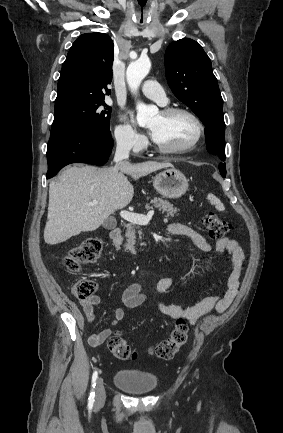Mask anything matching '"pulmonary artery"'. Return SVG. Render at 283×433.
Returning <instances> with one entry per match:
<instances>
[{"instance_id": "e3ab8cb5", "label": "pulmonary artery", "mask_w": 283, "mask_h": 433, "mask_svg": "<svg viewBox=\"0 0 283 433\" xmlns=\"http://www.w3.org/2000/svg\"><path fill=\"white\" fill-rule=\"evenodd\" d=\"M141 92L148 98L158 102L160 105H166L168 102L164 91L161 90L160 83L157 81L146 80L141 87Z\"/></svg>"}]
</instances>
